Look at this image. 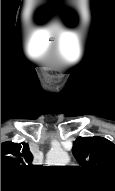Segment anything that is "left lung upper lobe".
<instances>
[{
    "instance_id": "5c2ea615",
    "label": "left lung upper lobe",
    "mask_w": 115,
    "mask_h": 191,
    "mask_svg": "<svg viewBox=\"0 0 115 191\" xmlns=\"http://www.w3.org/2000/svg\"><path fill=\"white\" fill-rule=\"evenodd\" d=\"M72 152L81 169L115 186V145L104 137H78Z\"/></svg>"
}]
</instances>
